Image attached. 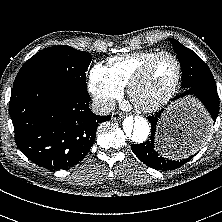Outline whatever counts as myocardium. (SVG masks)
I'll return each instance as SVG.
<instances>
[{"mask_svg":"<svg viewBox=\"0 0 222 222\" xmlns=\"http://www.w3.org/2000/svg\"><path fill=\"white\" fill-rule=\"evenodd\" d=\"M168 56L172 58L177 66V72L175 79L171 86L165 91L163 95H161L158 99L150 102V103H143L141 102L137 97V90L140 87V85L143 83L145 78L147 77L148 72L150 71L153 64L160 58ZM182 77V64L179 60V58L172 52L168 51H162L157 53L155 56H153L151 59H149L135 74L133 79L131 80L129 86H128V95L132 103L141 111L143 112H153L155 110H158L162 106H164L176 93L180 81Z\"/></svg>","mask_w":222,"mask_h":222,"instance_id":"myocardium-1","label":"myocardium"}]
</instances>
